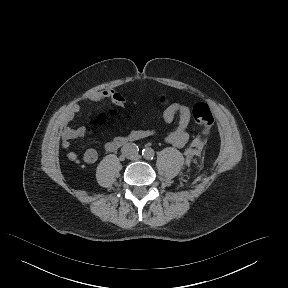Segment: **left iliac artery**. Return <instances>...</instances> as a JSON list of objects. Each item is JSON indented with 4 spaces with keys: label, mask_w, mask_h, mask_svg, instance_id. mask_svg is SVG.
<instances>
[{
    "label": "left iliac artery",
    "mask_w": 288,
    "mask_h": 288,
    "mask_svg": "<svg viewBox=\"0 0 288 288\" xmlns=\"http://www.w3.org/2000/svg\"><path fill=\"white\" fill-rule=\"evenodd\" d=\"M142 155L145 159H153L154 157V151L151 148H144L142 150Z\"/></svg>",
    "instance_id": "left-iliac-artery-1"
}]
</instances>
